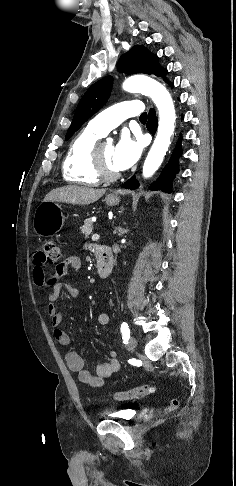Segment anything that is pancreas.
I'll return each mask as SVG.
<instances>
[{"label": "pancreas", "mask_w": 236, "mask_h": 486, "mask_svg": "<svg viewBox=\"0 0 236 486\" xmlns=\"http://www.w3.org/2000/svg\"><path fill=\"white\" fill-rule=\"evenodd\" d=\"M93 231L91 219H86L84 225L81 227V233L87 238Z\"/></svg>", "instance_id": "obj_1"}]
</instances>
